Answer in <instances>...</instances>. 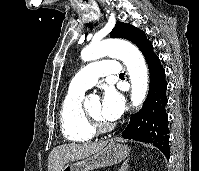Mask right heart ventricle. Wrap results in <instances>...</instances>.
Instances as JSON below:
<instances>
[{
  "label": "right heart ventricle",
  "mask_w": 199,
  "mask_h": 171,
  "mask_svg": "<svg viewBox=\"0 0 199 171\" xmlns=\"http://www.w3.org/2000/svg\"><path fill=\"white\" fill-rule=\"evenodd\" d=\"M83 91L70 88L65 93L60 107L61 131L67 140L85 142L94 136L88 117L82 107Z\"/></svg>",
  "instance_id": "e07e8e85"
}]
</instances>
